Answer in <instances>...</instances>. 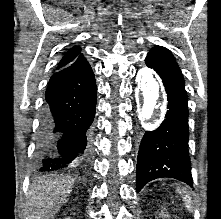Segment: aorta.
<instances>
[{"mask_svg":"<svg viewBox=\"0 0 221 219\" xmlns=\"http://www.w3.org/2000/svg\"><path fill=\"white\" fill-rule=\"evenodd\" d=\"M138 88L137 118L141 123L148 121L154 114L158 101L162 98V89L153 71L142 68L136 76Z\"/></svg>","mask_w":221,"mask_h":219,"instance_id":"762f6f07","label":"aorta"}]
</instances>
